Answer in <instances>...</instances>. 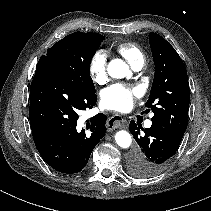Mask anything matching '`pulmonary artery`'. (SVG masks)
<instances>
[{
    "instance_id": "obj_1",
    "label": "pulmonary artery",
    "mask_w": 211,
    "mask_h": 211,
    "mask_svg": "<svg viewBox=\"0 0 211 211\" xmlns=\"http://www.w3.org/2000/svg\"><path fill=\"white\" fill-rule=\"evenodd\" d=\"M141 67H142V64H139V65L134 66L133 68H134L135 70H140ZM151 125H152V121H151V120H147V121L145 122V126H146L147 128H150Z\"/></svg>"
}]
</instances>
